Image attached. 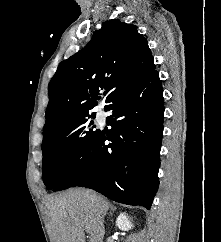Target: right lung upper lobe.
Listing matches in <instances>:
<instances>
[{"instance_id":"cb5924a9","label":"right lung upper lobe","mask_w":221,"mask_h":242,"mask_svg":"<svg viewBox=\"0 0 221 242\" xmlns=\"http://www.w3.org/2000/svg\"><path fill=\"white\" fill-rule=\"evenodd\" d=\"M155 68L148 42L135 25L117 19L104 22L82 50L60 63L51 79L43 137L89 115L100 91L106 110Z\"/></svg>"}]
</instances>
